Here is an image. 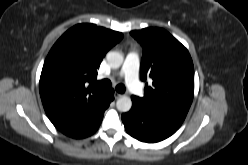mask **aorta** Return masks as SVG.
<instances>
[{
  "label": "aorta",
  "instance_id": "aorta-1",
  "mask_svg": "<svg viewBox=\"0 0 248 165\" xmlns=\"http://www.w3.org/2000/svg\"><path fill=\"white\" fill-rule=\"evenodd\" d=\"M106 59L110 67L117 69L123 63V55L117 51H109L106 55ZM116 107L120 112H128L132 107V100L128 96L120 97L116 102Z\"/></svg>",
  "mask_w": 248,
  "mask_h": 165
}]
</instances>
